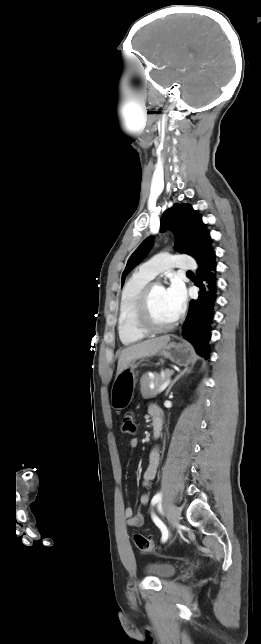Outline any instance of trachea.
Instances as JSON below:
<instances>
[{
	"instance_id": "trachea-1",
	"label": "trachea",
	"mask_w": 261,
	"mask_h": 644,
	"mask_svg": "<svg viewBox=\"0 0 261 644\" xmlns=\"http://www.w3.org/2000/svg\"><path fill=\"white\" fill-rule=\"evenodd\" d=\"M187 274H193L191 271H188Z\"/></svg>"
}]
</instances>
